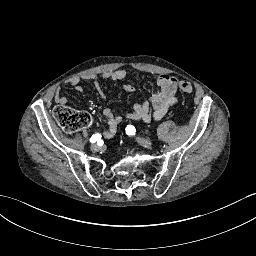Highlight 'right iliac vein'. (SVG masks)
I'll return each instance as SVG.
<instances>
[{"label":"right iliac vein","mask_w":256,"mask_h":256,"mask_svg":"<svg viewBox=\"0 0 256 256\" xmlns=\"http://www.w3.org/2000/svg\"><path fill=\"white\" fill-rule=\"evenodd\" d=\"M92 149L94 150V151H97V152H99V151H101L102 149H103V146L102 145H100V144H93L92 145Z\"/></svg>","instance_id":"63e3f726"}]
</instances>
